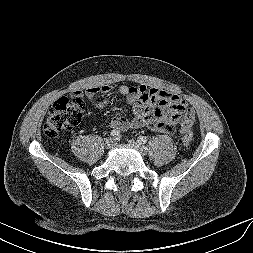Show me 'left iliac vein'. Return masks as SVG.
<instances>
[{"instance_id": "4c4485c4", "label": "left iliac vein", "mask_w": 253, "mask_h": 253, "mask_svg": "<svg viewBox=\"0 0 253 253\" xmlns=\"http://www.w3.org/2000/svg\"><path fill=\"white\" fill-rule=\"evenodd\" d=\"M128 144L131 148L136 149L137 151L140 152L141 155H145L147 153V150L144 146H142L139 142L134 141V140H129Z\"/></svg>"}]
</instances>
